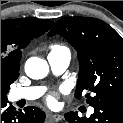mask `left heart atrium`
<instances>
[{
  "instance_id": "obj_1",
  "label": "left heart atrium",
  "mask_w": 123,
  "mask_h": 123,
  "mask_svg": "<svg viewBox=\"0 0 123 123\" xmlns=\"http://www.w3.org/2000/svg\"><path fill=\"white\" fill-rule=\"evenodd\" d=\"M47 101L49 104L53 105L56 103V98L54 96H49Z\"/></svg>"
}]
</instances>
